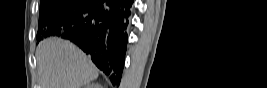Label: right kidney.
<instances>
[{"instance_id":"ca27d5eb","label":"right kidney","mask_w":267,"mask_h":88,"mask_svg":"<svg viewBox=\"0 0 267 88\" xmlns=\"http://www.w3.org/2000/svg\"><path fill=\"white\" fill-rule=\"evenodd\" d=\"M84 88H102V86L99 83L92 82L88 83Z\"/></svg>"}]
</instances>
